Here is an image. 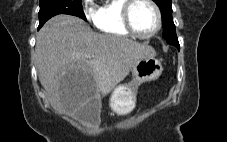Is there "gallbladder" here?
I'll return each instance as SVG.
<instances>
[{
	"label": "gallbladder",
	"mask_w": 227,
	"mask_h": 142,
	"mask_svg": "<svg viewBox=\"0 0 227 142\" xmlns=\"http://www.w3.org/2000/svg\"><path fill=\"white\" fill-rule=\"evenodd\" d=\"M100 111L101 101L98 99H92L78 110L77 117L87 122H98Z\"/></svg>",
	"instance_id": "bac80fb5"
}]
</instances>
